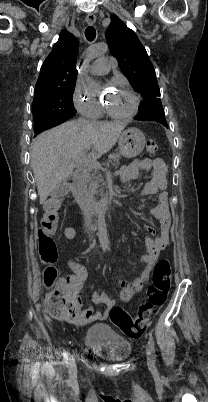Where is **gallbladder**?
I'll use <instances>...</instances> for the list:
<instances>
[{
	"mask_svg": "<svg viewBox=\"0 0 208 402\" xmlns=\"http://www.w3.org/2000/svg\"><path fill=\"white\" fill-rule=\"evenodd\" d=\"M69 189V181H60L59 186H55L54 190L51 191L50 196L52 199H59L61 195H66L67 190Z\"/></svg>",
	"mask_w": 208,
	"mask_h": 402,
	"instance_id": "1",
	"label": "gallbladder"
}]
</instances>
